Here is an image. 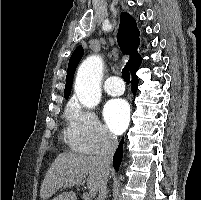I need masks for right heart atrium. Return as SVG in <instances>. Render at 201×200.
Returning <instances> with one entry per match:
<instances>
[{"label":"right heart atrium","mask_w":201,"mask_h":200,"mask_svg":"<svg viewBox=\"0 0 201 200\" xmlns=\"http://www.w3.org/2000/svg\"><path fill=\"white\" fill-rule=\"evenodd\" d=\"M66 117L68 120L66 139L75 151L94 154L115 148L116 137L101 123L93 110L72 103Z\"/></svg>","instance_id":"1"}]
</instances>
